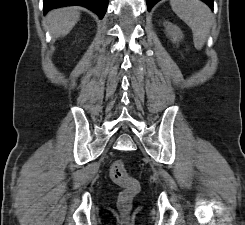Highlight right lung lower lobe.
<instances>
[{"label":"right lung lower lobe","mask_w":245,"mask_h":225,"mask_svg":"<svg viewBox=\"0 0 245 225\" xmlns=\"http://www.w3.org/2000/svg\"><path fill=\"white\" fill-rule=\"evenodd\" d=\"M43 2L45 13L53 8L80 5L95 12L100 19L105 15L108 6V0H43Z\"/></svg>","instance_id":"1"}]
</instances>
